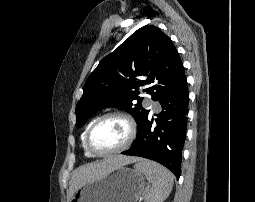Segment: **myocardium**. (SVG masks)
I'll use <instances>...</instances> for the list:
<instances>
[{"label":"myocardium","mask_w":255,"mask_h":202,"mask_svg":"<svg viewBox=\"0 0 255 202\" xmlns=\"http://www.w3.org/2000/svg\"><path fill=\"white\" fill-rule=\"evenodd\" d=\"M109 118L122 119L127 125L128 135H127L125 142L120 147H118L112 151H108V152H98L91 145V134H92L94 128L99 123H101L102 121L109 119ZM136 135H137V124L131 115H129L128 113L123 112V111L108 112V113L103 114L100 117L96 118L90 124V126L87 129V132L85 134V146H86L87 150L92 155L99 156V157L111 156V155L121 153V152L125 151L126 149H128L130 147V145L133 143V141L135 140Z\"/></svg>","instance_id":"obj_1"}]
</instances>
